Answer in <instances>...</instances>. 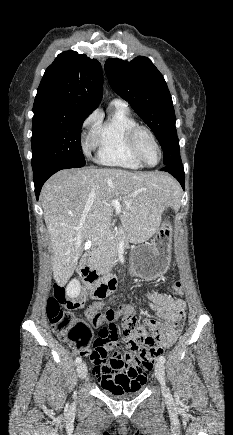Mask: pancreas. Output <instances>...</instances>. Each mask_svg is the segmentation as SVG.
I'll list each match as a JSON object with an SVG mask.
<instances>
[{
	"label": "pancreas",
	"mask_w": 233,
	"mask_h": 435,
	"mask_svg": "<svg viewBox=\"0 0 233 435\" xmlns=\"http://www.w3.org/2000/svg\"><path fill=\"white\" fill-rule=\"evenodd\" d=\"M121 228L115 229L95 256V265L102 273H108L116 263L117 251L123 234Z\"/></svg>",
	"instance_id": "pancreas-1"
}]
</instances>
